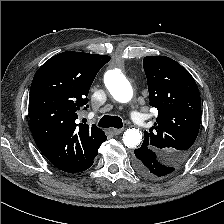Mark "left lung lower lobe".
Wrapping results in <instances>:
<instances>
[{
    "instance_id": "left-lung-lower-lobe-1",
    "label": "left lung lower lobe",
    "mask_w": 224,
    "mask_h": 224,
    "mask_svg": "<svg viewBox=\"0 0 224 224\" xmlns=\"http://www.w3.org/2000/svg\"><path fill=\"white\" fill-rule=\"evenodd\" d=\"M134 152V167L143 177L156 180L158 177L171 173L172 168L167 166L155 152L146 146H141Z\"/></svg>"
}]
</instances>
